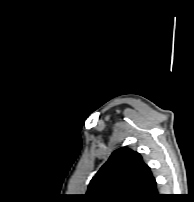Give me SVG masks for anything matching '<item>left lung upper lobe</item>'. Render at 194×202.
Listing matches in <instances>:
<instances>
[{
  "mask_svg": "<svg viewBox=\"0 0 194 202\" xmlns=\"http://www.w3.org/2000/svg\"><path fill=\"white\" fill-rule=\"evenodd\" d=\"M157 195L156 181L139 153L120 148L92 178L89 202H150Z\"/></svg>",
  "mask_w": 194,
  "mask_h": 202,
  "instance_id": "1",
  "label": "left lung upper lobe"
}]
</instances>
